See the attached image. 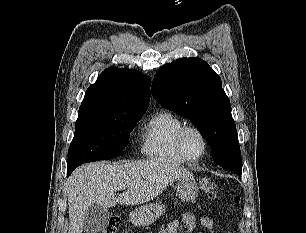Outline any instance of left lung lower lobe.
I'll return each mask as SVG.
<instances>
[{"mask_svg": "<svg viewBox=\"0 0 306 233\" xmlns=\"http://www.w3.org/2000/svg\"><path fill=\"white\" fill-rule=\"evenodd\" d=\"M238 175H239V177H241V173H239Z\"/></svg>", "mask_w": 306, "mask_h": 233, "instance_id": "1", "label": "left lung lower lobe"}]
</instances>
